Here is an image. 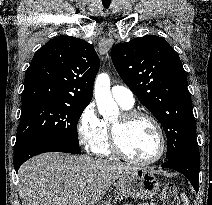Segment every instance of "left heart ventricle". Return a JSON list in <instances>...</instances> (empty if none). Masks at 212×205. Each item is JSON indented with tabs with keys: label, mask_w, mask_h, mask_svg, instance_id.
<instances>
[{
	"label": "left heart ventricle",
	"mask_w": 212,
	"mask_h": 205,
	"mask_svg": "<svg viewBox=\"0 0 212 205\" xmlns=\"http://www.w3.org/2000/svg\"><path fill=\"white\" fill-rule=\"evenodd\" d=\"M119 116L114 119L117 121ZM124 151L135 159H147L158 150V136L154 126L145 118H136L126 124L121 132Z\"/></svg>",
	"instance_id": "b2bd125f"
}]
</instances>
